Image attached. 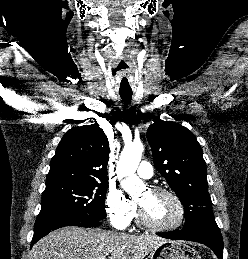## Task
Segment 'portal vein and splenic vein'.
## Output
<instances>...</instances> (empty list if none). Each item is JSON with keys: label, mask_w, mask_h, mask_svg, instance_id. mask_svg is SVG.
<instances>
[{"label": "portal vein and splenic vein", "mask_w": 248, "mask_h": 259, "mask_svg": "<svg viewBox=\"0 0 248 259\" xmlns=\"http://www.w3.org/2000/svg\"><path fill=\"white\" fill-rule=\"evenodd\" d=\"M98 259H106V257L105 256H101Z\"/></svg>", "instance_id": "obj_1"}]
</instances>
